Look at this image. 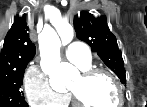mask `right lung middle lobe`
Masks as SVG:
<instances>
[{
    "instance_id": "1",
    "label": "right lung middle lobe",
    "mask_w": 147,
    "mask_h": 107,
    "mask_svg": "<svg viewBox=\"0 0 147 107\" xmlns=\"http://www.w3.org/2000/svg\"><path fill=\"white\" fill-rule=\"evenodd\" d=\"M25 68L0 75V107H29L20 87Z\"/></svg>"
}]
</instances>
